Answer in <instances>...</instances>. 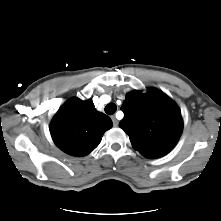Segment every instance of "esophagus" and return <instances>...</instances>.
<instances>
[{
  "instance_id": "obj_1",
  "label": "esophagus",
  "mask_w": 221,
  "mask_h": 221,
  "mask_svg": "<svg viewBox=\"0 0 221 221\" xmlns=\"http://www.w3.org/2000/svg\"><path fill=\"white\" fill-rule=\"evenodd\" d=\"M111 119H112V121H113V125H114V126H118L119 121L117 120V118H116L115 116H112Z\"/></svg>"
}]
</instances>
